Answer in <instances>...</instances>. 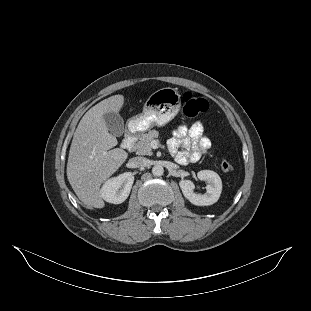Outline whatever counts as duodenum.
<instances>
[{
	"label": "duodenum",
	"mask_w": 311,
	"mask_h": 311,
	"mask_svg": "<svg viewBox=\"0 0 311 311\" xmlns=\"http://www.w3.org/2000/svg\"><path fill=\"white\" fill-rule=\"evenodd\" d=\"M136 137H137V132L135 130L127 131L121 144L122 149L126 151H130L134 146Z\"/></svg>",
	"instance_id": "1"
}]
</instances>
